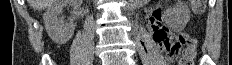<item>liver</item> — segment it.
<instances>
[{"mask_svg": "<svg viewBox=\"0 0 232 65\" xmlns=\"http://www.w3.org/2000/svg\"><path fill=\"white\" fill-rule=\"evenodd\" d=\"M55 0H28V3L34 10H42L49 7Z\"/></svg>", "mask_w": 232, "mask_h": 65, "instance_id": "6515ba94", "label": "liver"}]
</instances>
